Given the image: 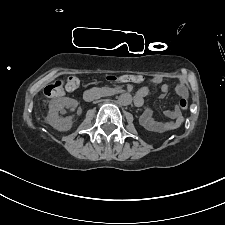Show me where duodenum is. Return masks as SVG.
<instances>
[{
    "instance_id": "obj_1",
    "label": "duodenum",
    "mask_w": 225,
    "mask_h": 225,
    "mask_svg": "<svg viewBox=\"0 0 225 225\" xmlns=\"http://www.w3.org/2000/svg\"><path fill=\"white\" fill-rule=\"evenodd\" d=\"M100 96H101L100 91L92 90V89L86 90L83 94L84 99L88 102L93 101V100L99 98ZM134 101L137 106L142 103V100L138 99L137 97H135Z\"/></svg>"
}]
</instances>
